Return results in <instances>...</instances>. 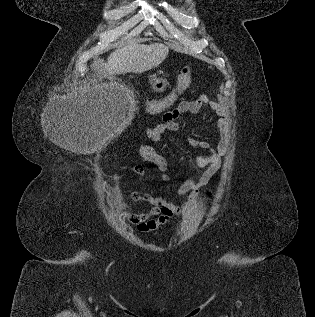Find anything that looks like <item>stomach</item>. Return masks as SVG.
Wrapping results in <instances>:
<instances>
[{"mask_svg": "<svg viewBox=\"0 0 315 317\" xmlns=\"http://www.w3.org/2000/svg\"><path fill=\"white\" fill-rule=\"evenodd\" d=\"M151 90L154 92H163L169 86V82L164 77L154 78L150 80Z\"/></svg>", "mask_w": 315, "mask_h": 317, "instance_id": "obj_1", "label": "stomach"}]
</instances>
